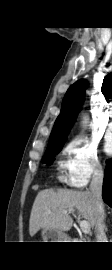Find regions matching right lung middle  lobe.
<instances>
[{"label": "right lung middle lobe", "mask_w": 112, "mask_h": 270, "mask_svg": "<svg viewBox=\"0 0 112 270\" xmlns=\"http://www.w3.org/2000/svg\"><path fill=\"white\" fill-rule=\"evenodd\" d=\"M63 144H64V142L48 144L45 155L42 158V162L48 163L49 165L52 164V159L54 158L56 153L61 150Z\"/></svg>", "instance_id": "obj_1"}]
</instances>
